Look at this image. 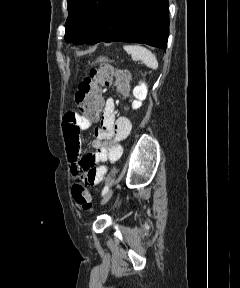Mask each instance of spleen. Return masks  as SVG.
<instances>
[{
  "label": "spleen",
  "mask_w": 240,
  "mask_h": 288,
  "mask_svg": "<svg viewBox=\"0 0 240 288\" xmlns=\"http://www.w3.org/2000/svg\"><path fill=\"white\" fill-rule=\"evenodd\" d=\"M124 49L128 54H131L133 60H141L151 69L158 68V62L155 55L147 48L140 45H125Z\"/></svg>",
  "instance_id": "spleen-1"
}]
</instances>
